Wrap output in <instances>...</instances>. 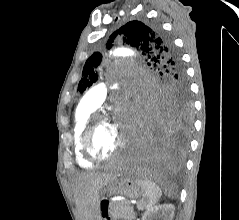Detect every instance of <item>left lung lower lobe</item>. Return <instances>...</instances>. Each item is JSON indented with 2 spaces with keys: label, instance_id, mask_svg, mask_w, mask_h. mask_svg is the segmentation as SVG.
Wrapping results in <instances>:
<instances>
[{
  "label": "left lung lower lobe",
  "instance_id": "1",
  "mask_svg": "<svg viewBox=\"0 0 239 220\" xmlns=\"http://www.w3.org/2000/svg\"><path fill=\"white\" fill-rule=\"evenodd\" d=\"M188 128L180 127L170 112L156 108L146 117L143 139L131 163L144 172H161L181 164Z\"/></svg>",
  "mask_w": 239,
  "mask_h": 220
}]
</instances>
